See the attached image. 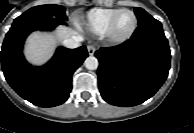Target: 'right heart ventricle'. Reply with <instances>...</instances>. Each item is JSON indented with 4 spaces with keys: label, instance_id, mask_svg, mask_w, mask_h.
<instances>
[{
    "label": "right heart ventricle",
    "instance_id": "obj_1",
    "mask_svg": "<svg viewBox=\"0 0 194 133\" xmlns=\"http://www.w3.org/2000/svg\"><path fill=\"white\" fill-rule=\"evenodd\" d=\"M118 10L119 8H93L81 18V22L94 34L101 35L104 33L108 20Z\"/></svg>",
    "mask_w": 194,
    "mask_h": 133
}]
</instances>
